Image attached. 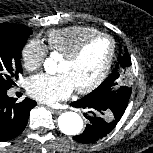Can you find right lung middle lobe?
Returning <instances> with one entry per match:
<instances>
[{
  "label": "right lung middle lobe",
  "mask_w": 153,
  "mask_h": 153,
  "mask_svg": "<svg viewBox=\"0 0 153 153\" xmlns=\"http://www.w3.org/2000/svg\"><path fill=\"white\" fill-rule=\"evenodd\" d=\"M30 34L24 25L0 24V89H10L22 73L21 51Z\"/></svg>",
  "instance_id": "dd1d6c3e"
}]
</instances>
